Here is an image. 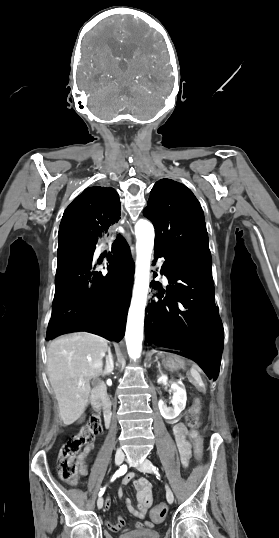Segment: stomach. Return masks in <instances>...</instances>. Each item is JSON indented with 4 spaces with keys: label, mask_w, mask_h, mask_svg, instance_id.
<instances>
[{
    "label": "stomach",
    "mask_w": 279,
    "mask_h": 538,
    "mask_svg": "<svg viewBox=\"0 0 279 538\" xmlns=\"http://www.w3.org/2000/svg\"><path fill=\"white\" fill-rule=\"evenodd\" d=\"M161 360L166 368H179L181 366L176 353H163Z\"/></svg>",
    "instance_id": "obj_1"
}]
</instances>
